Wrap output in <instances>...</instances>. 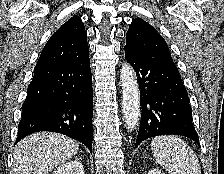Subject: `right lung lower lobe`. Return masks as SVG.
Here are the masks:
<instances>
[{
  "instance_id": "right-lung-lower-lobe-1",
  "label": "right lung lower lobe",
  "mask_w": 224,
  "mask_h": 174,
  "mask_svg": "<svg viewBox=\"0 0 224 174\" xmlns=\"http://www.w3.org/2000/svg\"><path fill=\"white\" fill-rule=\"evenodd\" d=\"M93 95L89 55L37 69L28 86L17 144L39 131L67 135L92 151Z\"/></svg>"
}]
</instances>
